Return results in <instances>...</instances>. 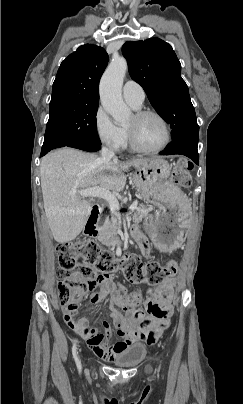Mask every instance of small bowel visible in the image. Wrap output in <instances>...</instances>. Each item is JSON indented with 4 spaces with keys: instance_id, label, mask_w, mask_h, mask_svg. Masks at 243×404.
<instances>
[{
    "instance_id": "small-bowel-1",
    "label": "small bowel",
    "mask_w": 243,
    "mask_h": 404,
    "mask_svg": "<svg viewBox=\"0 0 243 404\" xmlns=\"http://www.w3.org/2000/svg\"><path fill=\"white\" fill-rule=\"evenodd\" d=\"M135 234L142 253L149 256L150 247L147 239L138 228H135ZM97 284L100 291L92 296L91 301L99 303L107 294H111L110 310L119 340L111 342V330L107 322H104L106 332L99 333L96 328L88 325L86 318L75 319L73 313L67 310L63 311V319L72 330L86 340L98 357L113 360L122 349L138 341L154 344L168 327L172 314L174 287L172 278L166 279L150 291L144 308L129 312L126 317H123L116 308L121 304V297L113 283V276H101Z\"/></svg>"
}]
</instances>
